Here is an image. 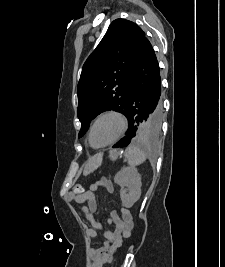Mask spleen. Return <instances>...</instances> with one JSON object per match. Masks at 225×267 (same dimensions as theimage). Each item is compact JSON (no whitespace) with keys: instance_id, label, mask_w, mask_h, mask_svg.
<instances>
[{"instance_id":"1","label":"spleen","mask_w":225,"mask_h":267,"mask_svg":"<svg viewBox=\"0 0 225 267\" xmlns=\"http://www.w3.org/2000/svg\"><path fill=\"white\" fill-rule=\"evenodd\" d=\"M125 158L131 167L142 164L147 156L146 153L136 146H129L125 150Z\"/></svg>"}]
</instances>
